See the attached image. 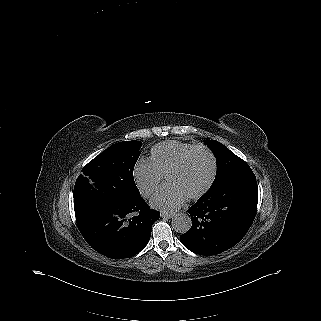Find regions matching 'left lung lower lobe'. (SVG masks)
<instances>
[{"instance_id":"obj_1","label":"left lung lower lobe","mask_w":321,"mask_h":321,"mask_svg":"<svg viewBox=\"0 0 321 321\" xmlns=\"http://www.w3.org/2000/svg\"><path fill=\"white\" fill-rule=\"evenodd\" d=\"M258 186L252 170L227 177L188 209L192 227L181 243L200 255H217L236 245L255 218Z\"/></svg>"}]
</instances>
